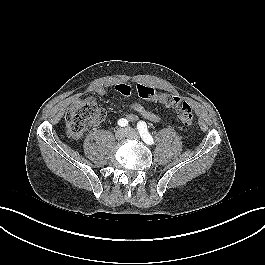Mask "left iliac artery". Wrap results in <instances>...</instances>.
<instances>
[{"label":"left iliac artery","instance_id":"obj_1","mask_svg":"<svg viewBox=\"0 0 265 265\" xmlns=\"http://www.w3.org/2000/svg\"><path fill=\"white\" fill-rule=\"evenodd\" d=\"M137 129L140 133L141 138L143 139V141L149 145L154 144V140L152 138V136L150 135V133L147 130V125L144 121H139L137 124Z\"/></svg>","mask_w":265,"mask_h":265}]
</instances>
